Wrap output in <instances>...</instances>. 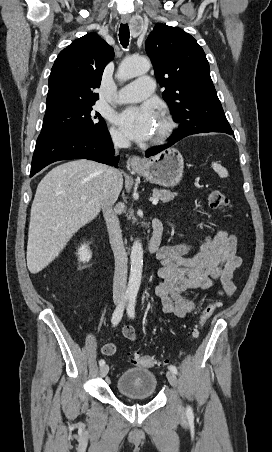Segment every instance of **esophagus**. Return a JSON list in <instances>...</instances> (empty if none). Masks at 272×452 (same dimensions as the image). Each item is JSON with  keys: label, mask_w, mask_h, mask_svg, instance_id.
Wrapping results in <instances>:
<instances>
[{"label": "esophagus", "mask_w": 272, "mask_h": 452, "mask_svg": "<svg viewBox=\"0 0 272 452\" xmlns=\"http://www.w3.org/2000/svg\"><path fill=\"white\" fill-rule=\"evenodd\" d=\"M121 21L123 23H128L130 21V16L129 15H123L121 17ZM143 164L142 159L139 156H133L130 160V165L132 168H136L139 167Z\"/></svg>", "instance_id": "obj_1"}]
</instances>
